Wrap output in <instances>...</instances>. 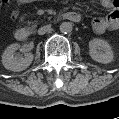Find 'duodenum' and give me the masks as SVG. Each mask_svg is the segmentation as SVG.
Returning a JSON list of instances; mask_svg holds the SVG:
<instances>
[{
    "mask_svg": "<svg viewBox=\"0 0 119 119\" xmlns=\"http://www.w3.org/2000/svg\"><path fill=\"white\" fill-rule=\"evenodd\" d=\"M62 19L78 23L81 21V15L77 12H66L62 15ZM28 31L25 28H19L15 31V38L24 41L28 38Z\"/></svg>",
    "mask_w": 119,
    "mask_h": 119,
    "instance_id": "1",
    "label": "duodenum"
}]
</instances>
